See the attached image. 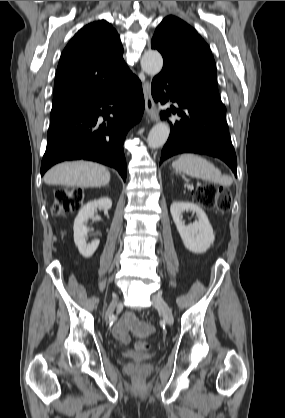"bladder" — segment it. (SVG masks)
I'll return each instance as SVG.
<instances>
[{
    "label": "bladder",
    "instance_id": "1",
    "mask_svg": "<svg viewBox=\"0 0 285 418\" xmlns=\"http://www.w3.org/2000/svg\"><path fill=\"white\" fill-rule=\"evenodd\" d=\"M125 357L133 362H142L150 359L151 355L146 353H138L133 350H130L125 354Z\"/></svg>",
    "mask_w": 285,
    "mask_h": 418
}]
</instances>
